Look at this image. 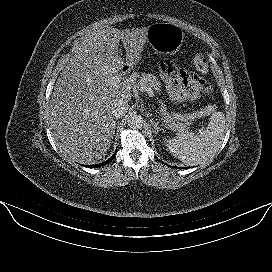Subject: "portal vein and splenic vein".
<instances>
[{"instance_id": "1", "label": "portal vein and splenic vein", "mask_w": 272, "mask_h": 272, "mask_svg": "<svg viewBox=\"0 0 272 272\" xmlns=\"http://www.w3.org/2000/svg\"><path fill=\"white\" fill-rule=\"evenodd\" d=\"M119 81V78H114V85H116V83ZM145 91L148 93L149 97H154V92L151 88H146Z\"/></svg>"}]
</instances>
